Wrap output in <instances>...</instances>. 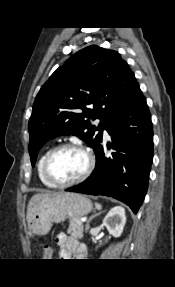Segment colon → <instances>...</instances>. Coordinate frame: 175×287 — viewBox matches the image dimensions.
Here are the masks:
<instances>
[{
  "label": "colon",
  "mask_w": 175,
  "mask_h": 287,
  "mask_svg": "<svg viewBox=\"0 0 175 287\" xmlns=\"http://www.w3.org/2000/svg\"><path fill=\"white\" fill-rule=\"evenodd\" d=\"M43 251H44V257L46 259L51 258L53 251H52V248L49 245H45L44 248H43Z\"/></svg>",
  "instance_id": "obj_1"
}]
</instances>
